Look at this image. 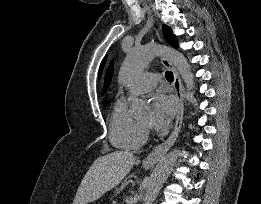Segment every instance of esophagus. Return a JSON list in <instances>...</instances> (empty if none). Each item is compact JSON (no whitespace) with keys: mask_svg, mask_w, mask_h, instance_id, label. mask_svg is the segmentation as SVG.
Instances as JSON below:
<instances>
[{"mask_svg":"<svg viewBox=\"0 0 261 204\" xmlns=\"http://www.w3.org/2000/svg\"><path fill=\"white\" fill-rule=\"evenodd\" d=\"M161 62L166 68L172 71L174 76L173 87L177 99V114H176L174 129L170 134V136L168 137V139L165 142L156 146L143 160L142 164L145 168L153 167L158 162V160L164 154H166L168 150L173 146L180 132L182 121H183V115H184L183 88H182V83L179 74L175 69V67L173 66V64L168 59L162 58Z\"/></svg>","mask_w":261,"mask_h":204,"instance_id":"esophagus-1","label":"esophagus"}]
</instances>
